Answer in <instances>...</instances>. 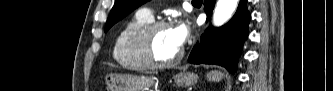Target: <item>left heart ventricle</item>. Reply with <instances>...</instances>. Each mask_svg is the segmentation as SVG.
I'll return each instance as SVG.
<instances>
[{"instance_id":"obj_1","label":"left heart ventricle","mask_w":333,"mask_h":91,"mask_svg":"<svg viewBox=\"0 0 333 91\" xmlns=\"http://www.w3.org/2000/svg\"><path fill=\"white\" fill-rule=\"evenodd\" d=\"M179 51L180 48L174 41L171 28H161L154 33L152 39V52L156 60H171Z\"/></svg>"}]
</instances>
